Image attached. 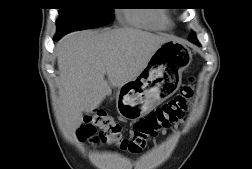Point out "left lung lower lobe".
Returning <instances> with one entry per match:
<instances>
[{"label": "left lung lower lobe", "instance_id": "left-lung-lower-lobe-1", "mask_svg": "<svg viewBox=\"0 0 252 169\" xmlns=\"http://www.w3.org/2000/svg\"><path fill=\"white\" fill-rule=\"evenodd\" d=\"M189 40H190L191 42L197 44L198 46H200L199 43H198V41H197V39H196V37L193 38V39H189Z\"/></svg>", "mask_w": 252, "mask_h": 169}]
</instances>
